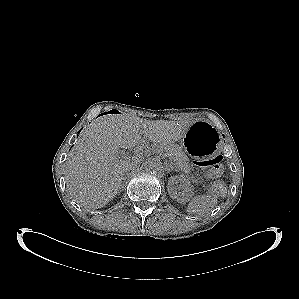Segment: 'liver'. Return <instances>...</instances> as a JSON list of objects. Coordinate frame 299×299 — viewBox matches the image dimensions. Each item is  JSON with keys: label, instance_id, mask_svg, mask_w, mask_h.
Instances as JSON below:
<instances>
[{"label": "liver", "instance_id": "1", "mask_svg": "<svg viewBox=\"0 0 299 299\" xmlns=\"http://www.w3.org/2000/svg\"><path fill=\"white\" fill-rule=\"evenodd\" d=\"M190 121L146 120L125 114L105 115L82 134L66 160V187L82 206L101 208L120 189L125 172L144 152L121 158L119 148L129 149L141 142V135L155 145L166 146L184 137Z\"/></svg>", "mask_w": 299, "mask_h": 299}]
</instances>
